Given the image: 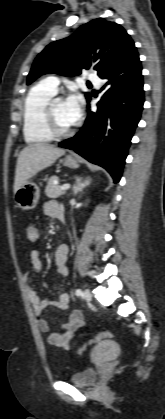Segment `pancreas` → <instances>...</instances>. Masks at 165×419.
<instances>
[{"instance_id": "pancreas-1", "label": "pancreas", "mask_w": 165, "mask_h": 419, "mask_svg": "<svg viewBox=\"0 0 165 419\" xmlns=\"http://www.w3.org/2000/svg\"><path fill=\"white\" fill-rule=\"evenodd\" d=\"M58 180L57 176H52L47 181V186L45 189V194L49 198H57L63 194H65V190H61L60 185L54 184V181Z\"/></svg>"}]
</instances>
